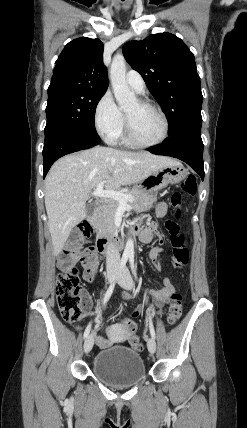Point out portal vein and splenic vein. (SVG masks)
Returning <instances> with one entry per match:
<instances>
[{"label": "portal vein and splenic vein", "mask_w": 247, "mask_h": 428, "mask_svg": "<svg viewBox=\"0 0 247 428\" xmlns=\"http://www.w3.org/2000/svg\"><path fill=\"white\" fill-rule=\"evenodd\" d=\"M103 188L104 181L97 185L96 189L92 192V195L96 197L111 198L117 200L121 204H126L127 202H132L134 200L131 195L115 190H104Z\"/></svg>", "instance_id": "portal-vein-and-splenic-vein-1"}]
</instances>
